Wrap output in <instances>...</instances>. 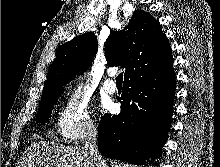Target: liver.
I'll return each instance as SVG.
<instances>
[{
	"label": "liver",
	"mask_w": 220,
	"mask_h": 167,
	"mask_svg": "<svg viewBox=\"0 0 220 167\" xmlns=\"http://www.w3.org/2000/svg\"><path fill=\"white\" fill-rule=\"evenodd\" d=\"M16 167H96L84 147L65 146L55 142L34 143L17 162Z\"/></svg>",
	"instance_id": "1"
}]
</instances>
